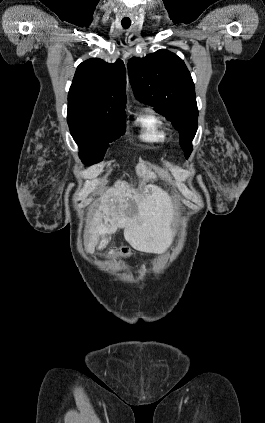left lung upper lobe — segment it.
<instances>
[{
	"label": "left lung upper lobe",
	"mask_w": 265,
	"mask_h": 423,
	"mask_svg": "<svg viewBox=\"0 0 265 423\" xmlns=\"http://www.w3.org/2000/svg\"><path fill=\"white\" fill-rule=\"evenodd\" d=\"M135 97L166 116L180 133V146L188 158L197 131L195 86L184 61L167 50L128 61Z\"/></svg>",
	"instance_id": "obj_1"
}]
</instances>
